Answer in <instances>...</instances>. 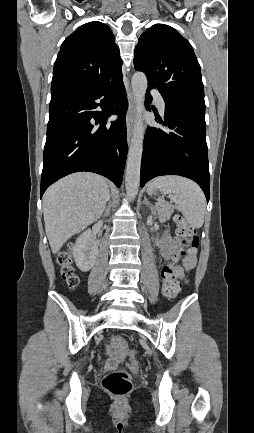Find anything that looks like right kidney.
<instances>
[{
    "label": "right kidney",
    "instance_id": "1",
    "mask_svg": "<svg viewBox=\"0 0 254 433\" xmlns=\"http://www.w3.org/2000/svg\"><path fill=\"white\" fill-rule=\"evenodd\" d=\"M97 255L98 245L94 241L91 230L88 229L77 238L73 247L75 263L82 272H87L93 267Z\"/></svg>",
    "mask_w": 254,
    "mask_h": 433
}]
</instances>
